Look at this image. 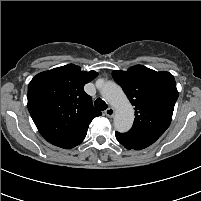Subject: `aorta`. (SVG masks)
<instances>
[{
    "instance_id": "762f6f07",
    "label": "aorta",
    "mask_w": 201,
    "mask_h": 201,
    "mask_svg": "<svg viewBox=\"0 0 201 201\" xmlns=\"http://www.w3.org/2000/svg\"><path fill=\"white\" fill-rule=\"evenodd\" d=\"M102 97L115 108L114 127L118 132L129 131L134 121V109L123 92L115 82L108 81L100 88Z\"/></svg>"
}]
</instances>
